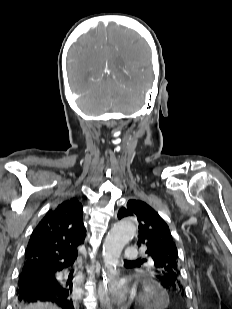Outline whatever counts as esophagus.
Returning a JSON list of instances; mask_svg holds the SVG:
<instances>
[{
    "label": "esophagus",
    "mask_w": 232,
    "mask_h": 309,
    "mask_svg": "<svg viewBox=\"0 0 232 309\" xmlns=\"http://www.w3.org/2000/svg\"><path fill=\"white\" fill-rule=\"evenodd\" d=\"M114 278L102 268V278L98 284L97 295L100 301L101 306L104 309H110V303L107 298V290L110 282L113 281Z\"/></svg>",
    "instance_id": "esophagus-1"
}]
</instances>
